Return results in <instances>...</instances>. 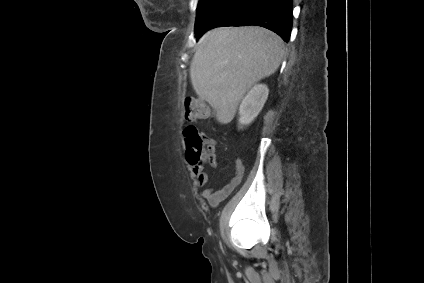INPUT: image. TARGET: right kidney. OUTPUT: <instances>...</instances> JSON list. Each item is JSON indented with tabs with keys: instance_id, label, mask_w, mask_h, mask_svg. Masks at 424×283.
Wrapping results in <instances>:
<instances>
[{
	"instance_id": "obj_1",
	"label": "right kidney",
	"mask_w": 424,
	"mask_h": 283,
	"mask_svg": "<svg viewBox=\"0 0 424 283\" xmlns=\"http://www.w3.org/2000/svg\"><path fill=\"white\" fill-rule=\"evenodd\" d=\"M268 94L269 89L265 84H256L250 89L239 106V125L247 126L254 121L262 110Z\"/></svg>"
}]
</instances>
